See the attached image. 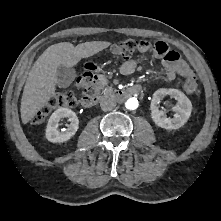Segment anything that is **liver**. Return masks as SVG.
<instances>
[{"instance_id":"liver-1","label":"liver","mask_w":221,"mask_h":221,"mask_svg":"<svg viewBox=\"0 0 221 221\" xmlns=\"http://www.w3.org/2000/svg\"><path fill=\"white\" fill-rule=\"evenodd\" d=\"M111 45L106 41H91L74 46L61 42L48 47L29 72L21 99V120L27 124L55 94L57 68L73 67L81 58L91 57Z\"/></svg>"}]
</instances>
